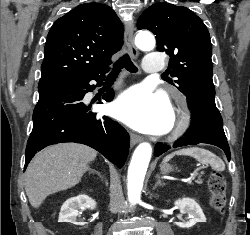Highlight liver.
Here are the masks:
<instances>
[{"label":"liver","mask_w":250,"mask_h":235,"mask_svg":"<svg viewBox=\"0 0 250 235\" xmlns=\"http://www.w3.org/2000/svg\"><path fill=\"white\" fill-rule=\"evenodd\" d=\"M97 152L85 145L62 143L40 151L25 172V191L32 207L38 208L52 193L78 184Z\"/></svg>","instance_id":"obj_1"}]
</instances>
